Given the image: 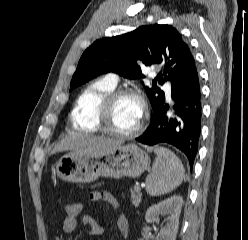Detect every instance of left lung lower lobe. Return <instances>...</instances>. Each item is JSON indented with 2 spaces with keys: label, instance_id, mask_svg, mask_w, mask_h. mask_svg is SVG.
I'll return each instance as SVG.
<instances>
[{
  "label": "left lung lower lobe",
  "instance_id": "obj_1",
  "mask_svg": "<svg viewBox=\"0 0 248 240\" xmlns=\"http://www.w3.org/2000/svg\"><path fill=\"white\" fill-rule=\"evenodd\" d=\"M171 97L174 105L172 115H168L169 105L163 104L150 120V124L138 142L147 145L168 143L188 158L193 166L198 151L201 134V90L197 68L189 73L183 81L172 86Z\"/></svg>",
  "mask_w": 248,
  "mask_h": 240
}]
</instances>
